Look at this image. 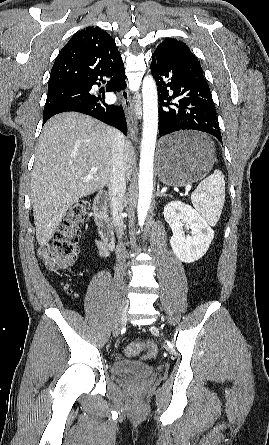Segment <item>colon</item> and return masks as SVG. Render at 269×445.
<instances>
[{"label":"colon","instance_id":"5ec220e1","mask_svg":"<svg viewBox=\"0 0 269 445\" xmlns=\"http://www.w3.org/2000/svg\"><path fill=\"white\" fill-rule=\"evenodd\" d=\"M88 219V203L85 200L75 202L66 212L54 234L53 240L39 249V257L53 270L68 268L78 254V232ZM145 351L147 357H154L157 348L152 342H134L125 347L127 356H135Z\"/></svg>","mask_w":269,"mask_h":445}]
</instances>
